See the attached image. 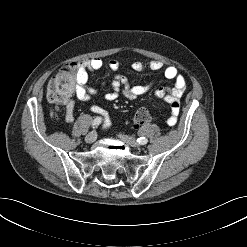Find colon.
I'll return each mask as SVG.
<instances>
[{"label":"colon","instance_id":"obj_1","mask_svg":"<svg viewBox=\"0 0 247 247\" xmlns=\"http://www.w3.org/2000/svg\"><path fill=\"white\" fill-rule=\"evenodd\" d=\"M76 85V66L74 64L66 65L50 80L47 88L48 99L53 103H65L71 99ZM173 107L178 108V103H175ZM149 119V112L141 108L136 111L133 121L136 126H142Z\"/></svg>","mask_w":247,"mask_h":247}]
</instances>
